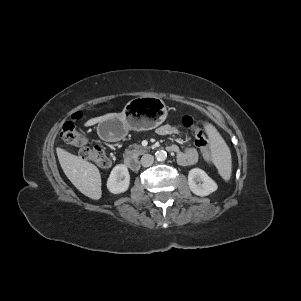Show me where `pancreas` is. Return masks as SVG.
Masks as SVG:
<instances>
[{"mask_svg": "<svg viewBox=\"0 0 301 301\" xmlns=\"http://www.w3.org/2000/svg\"><path fill=\"white\" fill-rule=\"evenodd\" d=\"M130 148L125 150V156L138 157L146 152V149L138 144H134Z\"/></svg>", "mask_w": 301, "mask_h": 301, "instance_id": "obj_1", "label": "pancreas"}]
</instances>
